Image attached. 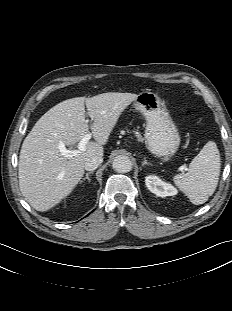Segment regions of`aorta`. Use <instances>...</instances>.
<instances>
[{"label": "aorta", "instance_id": "762f6f07", "mask_svg": "<svg viewBox=\"0 0 232 311\" xmlns=\"http://www.w3.org/2000/svg\"><path fill=\"white\" fill-rule=\"evenodd\" d=\"M113 169L118 173H127L132 170V162L126 156H117L112 163Z\"/></svg>", "mask_w": 232, "mask_h": 311}]
</instances>
